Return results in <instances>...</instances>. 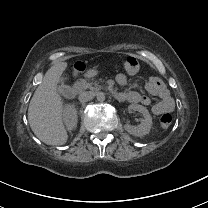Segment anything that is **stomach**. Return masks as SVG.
I'll return each instance as SVG.
<instances>
[{"label":"stomach","mask_w":208,"mask_h":208,"mask_svg":"<svg viewBox=\"0 0 208 208\" xmlns=\"http://www.w3.org/2000/svg\"><path fill=\"white\" fill-rule=\"evenodd\" d=\"M100 72H101L100 69H98L97 67L89 68L84 73V77H85V79H92V78L98 76L100 74Z\"/></svg>","instance_id":"obj_1"}]
</instances>
